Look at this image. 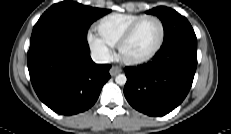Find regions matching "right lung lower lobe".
Masks as SVG:
<instances>
[{"label": "right lung lower lobe", "instance_id": "98d812e1", "mask_svg": "<svg viewBox=\"0 0 231 134\" xmlns=\"http://www.w3.org/2000/svg\"><path fill=\"white\" fill-rule=\"evenodd\" d=\"M85 37L49 28L31 37L28 69L40 100L54 112L73 115L89 109L110 78V65L95 64Z\"/></svg>", "mask_w": 231, "mask_h": 134}]
</instances>
